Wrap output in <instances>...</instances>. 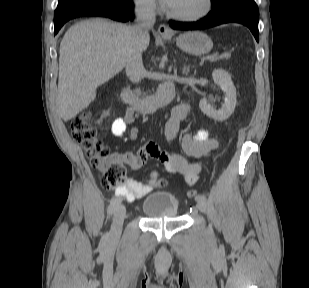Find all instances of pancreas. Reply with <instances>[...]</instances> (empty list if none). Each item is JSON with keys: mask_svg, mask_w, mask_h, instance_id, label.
Here are the masks:
<instances>
[{"mask_svg": "<svg viewBox=\"0 0 309 288\" xmlns=\"http://www.w3.org/2000/svg\"><path fill=\"white\" fill-rule=\"evenodd\" d=\"M230 54H228V53H224V54H222V55H220V56H218V57H216L215 59H214V61H217V60H222V59H229L230 58ZM137 93L138 94H140V92L139 91H137Z\"/></svg>", "mask_w": 309, "mask_h": 288, "instance_id": "obj_1", "label": "pancreas"}]
</instances>
